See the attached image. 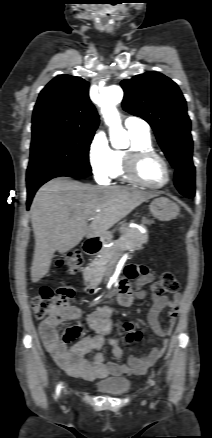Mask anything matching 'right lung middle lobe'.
<instances>
[{
	"label": "right lung middle lobe",
	"mask_w": 212,
	"mask_h": 438,
	"mask_svg": "<svg viewBox=\"0 0 212 438\" xmlns=\"http://www.w3.org/2000/svg\"><path fill=\"white\" fill-rule=\"evenodd\" d=\"M94 132L46 128L33 131L27 171L83 169L91 171L88 153Z\"/></svg>",
	"instance_id": "dd1d6c3e"
}]
</instances>
